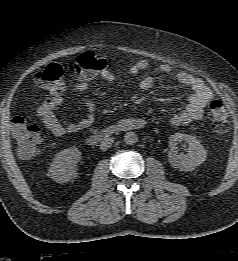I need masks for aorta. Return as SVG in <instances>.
Wrapping results in <instances>:
<instances>
[{
  "instance_id": "762f6f07",
  "label": "aorta",
  "mask_w": 238,
  "mask_h": 261,
  "mask_svg": "<svg viewBox=\"0 0 238 261\" xmlns=\"http://www.w3.org/2000/svg\"><path fill=\"white\" fill-rule=\"evenodd\" d=\"M137 141H138V136L135 132H127L124 135V142L127 145H134L137 143Z\"/></svg>"
}]
</instances>
